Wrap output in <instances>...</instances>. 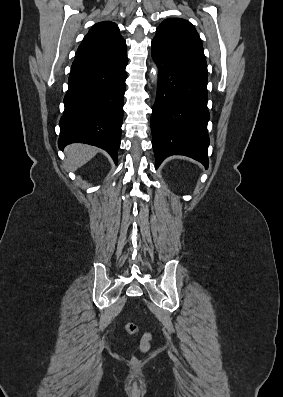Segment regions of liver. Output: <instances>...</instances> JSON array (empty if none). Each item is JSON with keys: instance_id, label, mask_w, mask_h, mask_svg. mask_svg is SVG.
Masks as SVG:
<instances>
[{"instance_id": "liver-1", "label": "liver", "mask_w": 283, "mask_h": 397, "mask_svg": "<svg viewBox=\"0 0 283 397\" xmlns=\"http://www.w3.org/2000/svg\"><path fill=\"white\" fill-rule=\"evenodd\" d=\"M98 152V149L86 144H71L65 148L66 160L65 166L68 171H75L88 161H90Z\"/></svg>"}]
</instances>
